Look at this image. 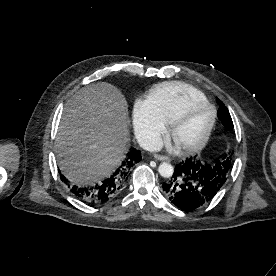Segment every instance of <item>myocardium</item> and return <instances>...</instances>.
<instances>
[{
	"mask_svg": "<svg viewBox=\"0 0 276 276\" xmlns=\"http://www.w3.org/2000/svg\"><path fill=\"white\" fill-rule=\"evenodd\" d=\"M200 103L205 104L210 108V110L212 112L211 120L208 124V127L206 128V130L204 131V133L202 134V136L199 139L182 146L183 149L186 151H195V150L201 148L208 141L209 137L212 134V131L214 129L216 119H217V110H216L215 106L212 103H210L207 99H193V100L189 101L184 106V108H182V110L180 112H178L172 118V120L169 123L170 124V132L172 135H174L177 126L188 115L191 108Z\"/></svg>",
	"mask_w": 276,
	"mask_h": 276,
	"instance_id": "f54148a6",
	"label": "myocardium"
}]
</instances>
